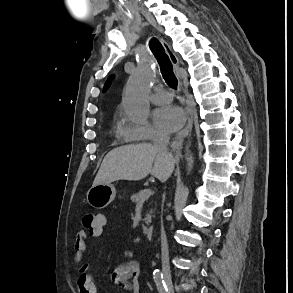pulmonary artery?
I'll use <instances>...</instances> for the list:
<instances>
[{
    "label": "pulmonary artery",
    "mask_w": 293,
    "mask_h": 293,
    "mask_svg": "<svg viewBox=\"0 0 293 293\" xmlns=\"http://www.w3.org/2000/svg\"><path fill=\"white\" fill-rule=\"evenodd\" d=\"M172 100V94L164 89H157L151 95V101L155 104H167Z\"/></svg>",
    "instance_id": "e3ab8cb5"
}]
</instances>
